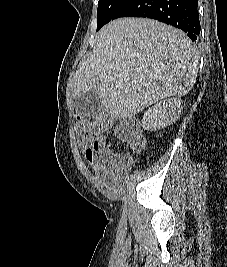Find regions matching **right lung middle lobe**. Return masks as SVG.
<instances>
[{"label": "right lung middle lobe", "mask_w": 227, "mask_h": 267, "mask_svg": "<svg viewBox=\"0 0 227 267\" xmlns=\"http://www.w3.org/2000/svg\"><path fill=\"white\" fill-rule=\"evenodd\" d=\"M128 0H99L97 9V31L113 19Z\"/></svg>", "instance_id": "dd1d6c3e"}]
</instances>
